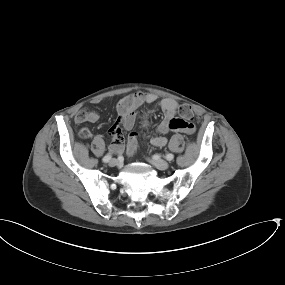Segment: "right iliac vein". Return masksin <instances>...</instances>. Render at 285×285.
Segmentation results:
<instances>
[{
    "instance_id": "1",
    "label": "right iliac vein",
    "mask_w": 285,
    "mask_h": 285,
    "mask_svg": "<svg viewBox=\"0 0 285 285\" xmlns=\"http://www.w3.org/2000/svg\"><path fill=\"white\" fill-rule=\"evenodd\" d=\"M119 163H120V162H119L118 159L113 158V159L110 160L109 165H110L111 167H114V166L119 165Z\"/></svg>"
}]
</instances>
